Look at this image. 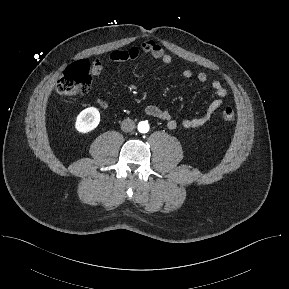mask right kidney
Segmentation results:
<instances>
[{"label": "right kidney", "instance_id": "obj_1", "mask_svg": "<svg viewBox=\"0 0 289 289\" xmlns=\"http://www.w3.org/2000/svg\"><path fill=\"white\" fill-rule=\"evenodd\" d=\"M100 122V113L97 108L89 107L79 113L75 122V128L80 133H88L94 130Z\"/></svg>", "mask_w": 289, "mask_h": 289}]
</instances>
